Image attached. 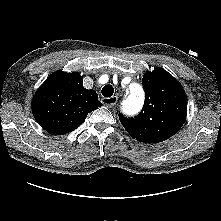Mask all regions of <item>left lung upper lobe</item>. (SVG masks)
Instances as JSON below:
<instances>
[{
    "mask_svg": "<svg viewBox=\"0 0 221 221\" xmlns=\"http://www.w3.org/2000/svg\"><path fill=\"white\" fill-rule=\"evenodd\" d=\"M142 83L146 96L142 111L134 118L119 114V119L137 141L162 142L177 133L185 122V91L171 74L159 67L146 72Z\"/></svg>",
    "mask_w": 221,
    "mask_h": 221,
    "instance_id": "left-lung-upper-lobe-1",
    "label": "left lung upper lobe"
}]
</instances>
